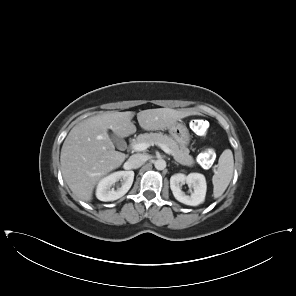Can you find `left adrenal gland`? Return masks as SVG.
I'll list each match as a JSON object with an SVG mask.
<instances>
[{
  "label": "left adrenal gland",
  "instance_id": "obj_1",
  "mask_svg": "<svg viewBox=\"0 0 296 296\" xmlns=\"http://www.w3.org/2000/svg\"><path fill=\"white\" fill-rule=\"evenodd\" d=\"M172 163H174V164H176V165H179L177 162H174V161H172Z\"/></svg>",
  "mask_w": 296,
  "mask_h": 296
}]
</instances>
